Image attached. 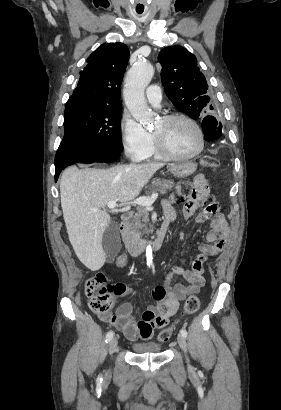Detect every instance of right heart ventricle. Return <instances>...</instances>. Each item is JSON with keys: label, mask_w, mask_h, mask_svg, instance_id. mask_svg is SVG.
Wrapping results in <instances>:
<instances>
[{"label": "right heart ventricle", "mask_w": 281, "mask_h": 410, "mask_svg": "<svg viewBox=\"0 0 281 410\" xmlns=\"http://www.w3.org/2000/svg\"><path fill=\"white\" fill-rule=\"evenodd\" d=\"M147 159H162V156L158 152L153 138H152L150 147L142 160H147Z\"/></svg>", "instance_id": "right-heart-ventricle-1"}]
</instances>
